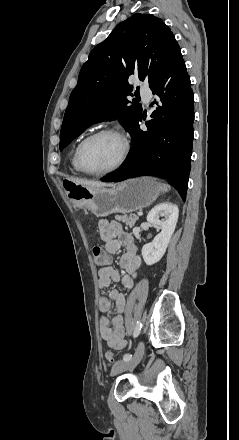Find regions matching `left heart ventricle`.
Wrapping results in <instances>:
<instances>
[{
  "mask_svg": "<svg viewBox=\"0 0 239 440\" xmlns=\"http://www.w3.org/2000/svg\"><path fill=\"white\" fill-rule=\"evenodd\" d=\"M122 142L114 135H101L90 140L82 151V160L89 171L99 172L114 167L122 154Z\"/></svg>",
  "mask_w": 239,
  "mask_h": 440,
  "instance_id": "1",
  "label": "left heart ventricle"
}]
</instances>
